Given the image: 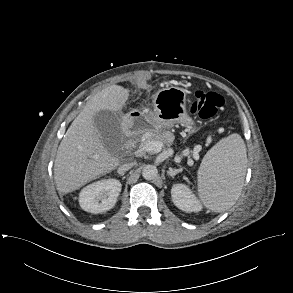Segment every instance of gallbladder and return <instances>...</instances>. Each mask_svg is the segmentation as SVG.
<instances>
[{
    "label": "gallbladder",
    "mask_w": 293,
    "mask_h": 293,
    "mask_svg": "<svg viewBox=\"0 0 293 293\" xmlns=\"http://www.w3.org/2000/svg\"><path fill=\"white\" fill-rule=\"evenodd\" d=\"M94 125L105 146L120 139V122L116 113L101 110L94 115Z\"/></svg>",
    "instance_id": "gallbladder-1"
}]
</instances>
